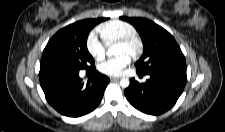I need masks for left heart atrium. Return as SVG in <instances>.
<instances>
[{"label": "left heart atrium", "instance_id": "39dd6f15", "mask_svg": "<svg viewBox=\"0 0 225 132\" xmlns=\"http://www.w3.org/2000/svg\"><path fill=\"white\" fill-rule=\"evenodd\" d=\"M131 61L130 55L121 54L114 58L105 60L98 65V70L108 76L121 75L123 70L129 65Z\"/></svg>", "mask_w": 225, "mask_h": 132}]
</instances>
